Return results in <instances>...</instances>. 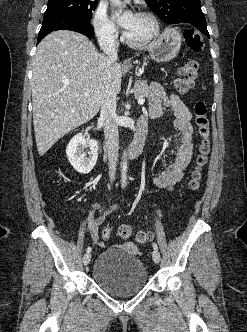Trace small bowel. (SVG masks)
<instances>
[{"label":"small bowel","instance_id":"c3829d8e","mask_svg":"<svg viewBox=\"0 0 247 332\" xmlns=\"http://www.w3.org/2000/svg\"><path fill=\"white\" fill-rule=\"evenodd\" d=\"M165 109H170L175 114V126L179 129L181 135L175 160L158 176H156L153 182L160 188L170 190L182 180L185 170L191 161L193 153V128L190 120L192 115L188 107L178 96L168 94L160 85L154 84L152 86L149 108L145 117H161ZM92 208L94 210H101V205L99 203H94ZM107 212V210H104L97 217L90 215L83 219V223L85 224L87 231L89 232L92 240L96 243L99 240V226L103 222Z\"/></svg>","mask_w":247,"mask_h":332}]
</instances>
